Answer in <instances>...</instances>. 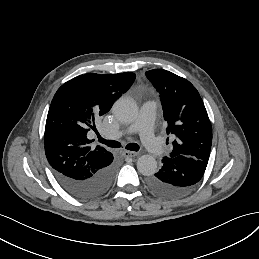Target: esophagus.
I'll list each match as a JSON object with an SVG mask.
<instances>
[{
  "mask_svg": "<svg viewBox=\"0 0 259 259\" xmlns=\"http://www.w3.org/2000/svg\"><path fill=\"white\" fill-rule=\"evenodd\" d=\"M138 155V152H132V151H123L122 156L123 157H135Z\"/></svg>",
  "mask_w": 259,
  "mask_h": 259,
  "instance_id": "1",
  "label": "esophagus"
}]
</instances>
